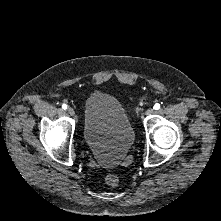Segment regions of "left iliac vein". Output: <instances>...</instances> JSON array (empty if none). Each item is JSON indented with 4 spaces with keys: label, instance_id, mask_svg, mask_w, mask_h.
I'll use <instances>...</instances> for the list:
<instances>
[{
    "label": "left iliac vein",
    "instance_id": "obj_1",
    "mask_svg": "<svg viewBox=\"0 0 221 221\" xmlns=\"http://www.w3.org/2000/svg\"><path fill=\"white\" fill-rule=\"evenodd\" d=\"M154 113V109L153 108H149L146 111V115H152Z\"/></svg>",
    "mask_w": 221,
    "mask_h": 221
}]
</instances>
